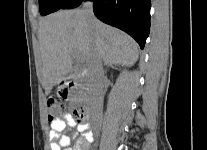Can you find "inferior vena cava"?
<instances>
[{
  "mask_svg": "<svg viewBox=\"0 0 207 150\" xmlns=\"http://www.w3.org/2000/svg\"><path fill=\"white\" fill-rule=\"evenodd\" d=\"M83 12L86 20L89 23H93L95 16L93 13V5L90 1L83 3ZM89 70L95 99L98 102H101L103 88L106 83V77L104 75L103 65L99 55L93 54L89 63Z\"/></svg>",
  "mask_w": 207,
  "mask_h": 150,
  "instance_id": "602c4592",
  "label": "inferior vena cava"
}]
</instances>
